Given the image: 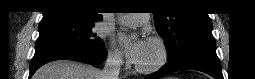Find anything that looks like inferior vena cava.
Here are the masks:
<instances>
[{"label":"inferior vena cava","instance_id":"obj_1","mask_svg":"<svg viewBox=\"0 0 255 79\" xmlns=\"http://www.w3.org/2000/svg\"><path fill=\"white\" fill-rule=\"evenodd\" d=\"M121 65V56L116 53H109L107 55L105 66L101 71V79H119Z\"/></svg>","mask_w":255,"mask_h":79}]
</instances>
